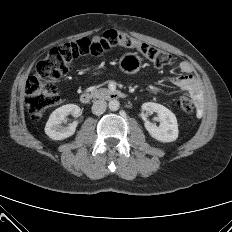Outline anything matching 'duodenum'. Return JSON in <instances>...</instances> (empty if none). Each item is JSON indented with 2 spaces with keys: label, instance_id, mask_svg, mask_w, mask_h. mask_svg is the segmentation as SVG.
I'll use <instances>...</instances> for the list:
<instances>
[{
  "label": "duodenum",
  "instance_id": "duodenum-1",
  "mask_svg": "<svg viewBox=\"0 0 232 232\" xmlns=\"http://www.w3.org/2000/svg\"><path fill=\"white\" fill-rule=\"evenodd\" d=\"M124 97V93L117 90H107V91H85L80 95V101L83 104H88L95 98H103L108 100H117Z\"/></svg>",
  "mask_w": 232,
  "mask_h": 232
}]
</instances>
